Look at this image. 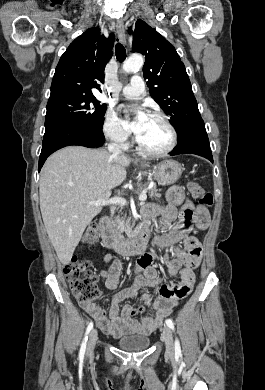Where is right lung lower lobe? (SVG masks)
I'll list each match as a JSON object with an SVG mask.
<instances>
[{"mask_svg":"<svg viewBox=\"0 0 265 390\" xmlns=\"http://www.w3.org/2000/svg\"><path fill=\"white\" fill-rule=\"evenodd\" d=\"M105 142L102 128L97 129L67 118L45 119V134L39 157L38 171L47 157L58 149L70 145L89 148L100 147Z\"/></svg>","mask_w":265,"mask_h":390,"instance_id":"right-lung-lower-lobe-1","label":"right lung lower lobe"}]
</instances>
